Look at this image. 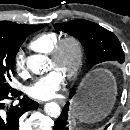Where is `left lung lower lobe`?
<instances>
[{
    "label": "left lung lower lobe",
    "instance_id": "0a47b994",
    "mask_svg": "<svg viewBox=\"0 0 130 130\" xmlns=\"http://www.w3.org/2000/svg\"><path fill=\"white\" fill-rule=\"evenodd\" d=\"M74 94H75V92L71 91L70 98H72L74 96ZM68 112H69V103H67L65 105L64 109L62 110L61 115L55 122L53 130H70L69 122H68ZM108 126H106V128L104 130H106L108 128Z\"/></svg>",
    "mask_w": 130,
    "mask_h": 130
}]
</instances>
